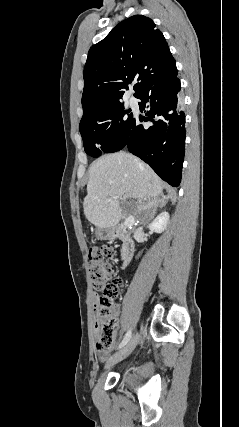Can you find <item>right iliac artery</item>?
I'll return each instance as SVG.
<instances>
[{"label":"right iliac artery","instance_id":"right-iliac-artery-1","mask_svg":"<svg viewBox=\"0 0 239 427\" xmlns=\"http://www.w3.org/2000/svg\"><path fill=\"white\" fill-rule=\"evenodd\" d=\"M130 338H131V331L129 330V331L125 334V336H124V338H123V340H122V342L120 343V345H119V347H118V348H122L123 346H125V345L128 343V341L130 340Z\"/></svg>","mask_w":239,"mask_h":427}]
</instances>
